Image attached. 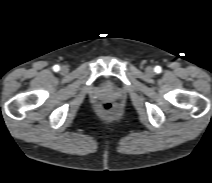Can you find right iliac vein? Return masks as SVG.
<instances>
[{"label": "right iliac vein", "mask_w": 212, "mask_h": 183, "mask_svg": "<svg viewBox=\"0 0 212 183\" xmlns=\"http://www.w3.org/2000/svg\"><path fill=\"white\" fill-rule=\"evenodd\" d=\"M60 71H61L62 74H67L68 71H69V68L67 66L63 65L61 67Z\"/></svg>", "instance_id": "63e3f726"}]
</instances>
